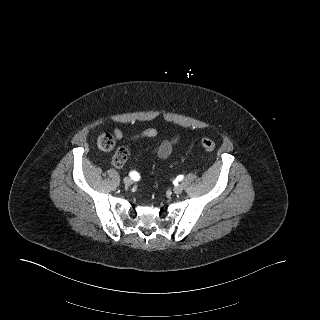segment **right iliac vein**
<instances>
[{
    "mask_svg": "<svg viewBox=\"0 0 320 320\" xmlns=\"http://www.w3.org/2000/svg\"><path fill=\"white\" fill-rule=\"evenodd\" d=\"M123 181H124V184L127 186H130L131 184H133V180L130 177H125Z\"/></svg>",
    "mask_w": 320,
    "mask_h": 320,
    "instance_id": "63e3f726",
    "label": "right iliac vein"
}]
</instances>
